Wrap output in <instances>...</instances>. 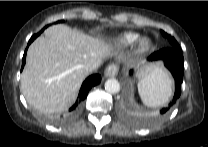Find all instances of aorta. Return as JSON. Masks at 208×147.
<instances>
[{
  "label": "aorta",
  "mask_w": 208,
  "mask_h": 147,
  "mask_svg": "<svg viewBox=\"0 0 208 147\" xmlns=\"http://www.w3.org/2000/svg\"><path fill=\"white\" fill-rule=\"evenodd\" d=\"M105 90L111 94H116L120 91V83L116 79H108L105 82Z\"/></svg>",
  "instance_id": "762f6f07"
}]
</instances>
